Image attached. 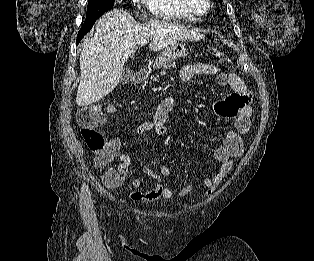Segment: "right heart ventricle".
Instances as JSON below:
<instances>
[{
	"label": "right heart ventricle",
	"mask_w": 314,
	"mask_h": 261,
	"mask_svg": "<svg viewBox=\"0 0 314 261\" xmlns=\"http://www.w3.org/2000/svg\"><path fill=\"white\" fill-rule=\"evenodd\" d=\"M146 7L149 13L155 17L184 21L195 19L184 10L179 0H146Z\"/></svg>",
	"instance_id": "e07e8e85"
}]
</instances>
